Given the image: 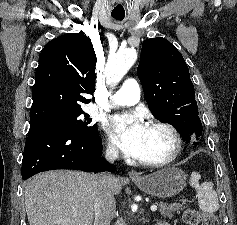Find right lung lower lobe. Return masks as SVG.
I'll list each match as a JSON object with an SVG mask.
<instances>
[{
  "label": "right lung lower lobe",
  "instance_id": "1",
  "mask_svg": "<svg viewBox=\"0 0 237 225\" xmlns=\"http://www.w3.org/2000/svg\"><path fill=\"white\" fill-rule=\"evenodd\" d=\"M102 140L99 133L80 135L44 125H30L24 147L22 178L54 169L87 172H115V167L101 159Z\"/></svg>",
  "mask_w": 237,
  "mask_h": 225
}]
</instances>
